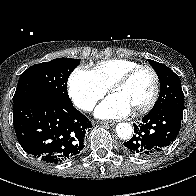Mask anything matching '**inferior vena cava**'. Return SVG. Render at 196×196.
I'll return each mask as SVG.
<instances>
[{
    "instance_id": "obj_1",
    "label": "inferior vena cava",
    "mask_w": 196,
    "mask_h": 196,
    "mask_svg": "<svg viewBox=\"0 0 196 196\" xmlns=\"http://www.w3.org/2000/svg\"><path fill=\"white\" fill-rule=\"evenodd\" d=\"M93 108H94V104H91V103H85L84 104V109L85 110L91 111V110H93Z\"/></svg>"
}]
</instances>
